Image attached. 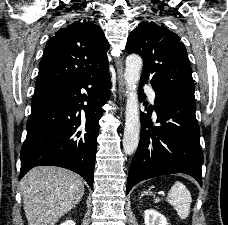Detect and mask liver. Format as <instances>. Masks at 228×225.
Wrapping results in <instances>:
<instances>
[{
    "instance_id": "obj_1",
    "label": "liver",
    "mask_w": 228,
    "mask_h": 225,
    "mask_svg": "<svg viewBox=\"0 0 228 225\" xmlns=\"http://www.w3.org/2000/svg\"><path fill=\"white\" fill-rule=\"evenodd\" d=\"M28 225H56L84 195L83 179L60 167H35L21 181Z\"/></svg>"
}]
</instances>
